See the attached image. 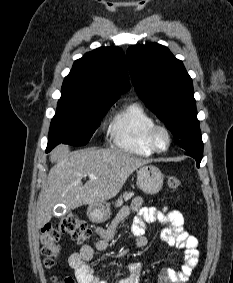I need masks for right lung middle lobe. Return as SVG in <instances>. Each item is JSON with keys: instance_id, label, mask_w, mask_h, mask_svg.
<instances>
[{"instance_id": "right-lung-middle-lobe-1", "label": "right lung middle lobe", "mask_w": 233, "mask_h": 283, "mask_svg": "<svg viewBox=\"0 0 233 283\" xmlns=\"http://www.w3.org/2000/svg\"><path fill=\"white\" fill-rule=\"evenodd\" d=\"M110 106L85 102L61 92L57 112L51 121L46 152L60 143L87 144Z\"/></svg>"}]
</instances>
